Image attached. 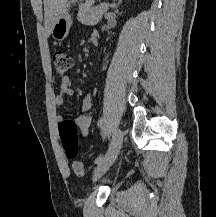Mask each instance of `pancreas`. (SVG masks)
Returning a JSON list of instances; mask_svg holds the SVG:
<instances>
[{
    "mask_svg": "<svg viewBox=\"0 0 216 217\" xmlns=\"http://www.w3.org/2000/svg\"><path fill=\"white\" fill-rule=\"evenodd\" d=\"M94 0H86L79 6L78 20L86 25H96L103 17L108 5L93 6Z\"/></svg>",
    "mask_w": 216,
    "mask_h": 217,
    "instance_id": "1",
    "label": "pancreas"
}]
</instances>
